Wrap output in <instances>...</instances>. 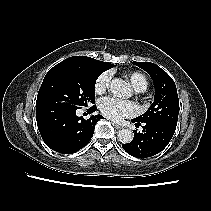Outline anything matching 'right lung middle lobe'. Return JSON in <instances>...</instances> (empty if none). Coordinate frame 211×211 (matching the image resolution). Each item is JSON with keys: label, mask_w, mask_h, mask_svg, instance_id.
<instances>
[{"label": "right lung middle lobe", "mask_w": 211, "mask_h": 211, "mask_svg": "<svg viewBox=\"0 0 211 211\" xmlns=\"http://www.w3.org/2000/svg\"><path fill=\"white\" fill-rule=\"evenodd\" d=\"M105 70L97 65L60 62L45 75L38 92L36 109H80L94 103L95 83Z\"/></svg>", "instance_id": "1"}]
</instances>
